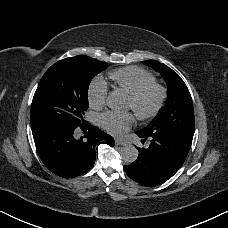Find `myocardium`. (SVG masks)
<instances>
[{
  "label": "myocardium",
  "instance_id": "myocardium-1",
  "mask_svg": "<svg viewBox=\"0 0 228 228\" xmlns=\"http://www.w3.org/2000/svg\"><path fill=\"white\" fill-rule=\"evenodd\" d=\"M151 94L156 95V101L153 107L147 113L139 112L138 108L143 104L145 99ZM164 100H165V90L161 86L156 84H151L130 96V102L133 107V112L136 115V117L140 120H151L155 118L161 111L164 104Z\"/></svg>",
  "mask_w": 228,
  "mask_h": 228
}]
</instances>
